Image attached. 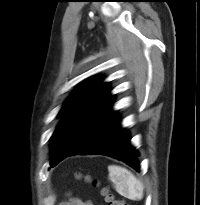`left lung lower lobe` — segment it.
Masks as SVG:
<instances>
[{
  "label": "left lung lower lobe",
  "mask_w": 200,
  "mask_h": 205,
  "mask_svg": "<svg viewBox=\"0 0 200 205\" xmlns=\"http://www.w3.org/2000/svg\"><path fill=\"white\" fill-rule=\"evenodd\" d=\"M72 155H107L136 171L140 169L138 153L130 145V136L120 127V120L111 107L64 158Z\"/></svg>",
  "instance_id": "left-lung-lower-lobe-1"
}]
</instances>
